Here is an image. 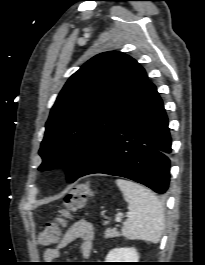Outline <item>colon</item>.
Here are the masks:
<instances>
[{"label": "colon", "mask_w": 205, "mask_h": 265, "mask_svg": "<svg viewBox=\"0 0 205 265\" xmlns=\"http://www.w3.org/2000/svg\"><path fill=\"white\" fill-rule=\"evenodd\" d=\"M91 196V189L88 184L77 185L64 199V207L60 216L53 222L41 226L37 235V242L42 246H50L59 241L61 229L71 214L81 209L87 199Z\"/></svg>", "instance_id": "5ec220e1"}]
</instances>
